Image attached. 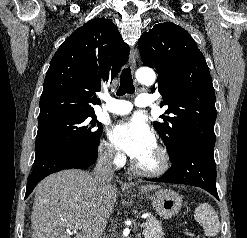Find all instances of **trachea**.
<instances>
[{
  "label": "trachea",
  "mask_w": 247,
  "mask_h": 238,
  "mask_svg": "<svg viewBox=\"0 0 247 238\" xmlns=\"http://www.w3.org/2000/svg\"><path fill=\"white\" fill-rule=\"evenodd\" d=\"M135 91L130 67L124 68L120 75V87L117 91L118 96H122L125 93L133 94Z\"/></svg>",
  "instance_id": "trachea-1"
}]
</instances>
